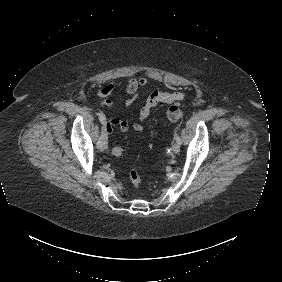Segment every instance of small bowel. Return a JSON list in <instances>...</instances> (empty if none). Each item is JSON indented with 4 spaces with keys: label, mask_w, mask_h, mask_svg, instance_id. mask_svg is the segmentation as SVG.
Wrapping results in <instances>:
<instances>
[{
    "label": "small bowel",
    "mask_w": 282,
    "mask_h": 282,
    "mask_svg": "<svg viewBox=\"0 0 282 282\" xmlns=\"http://www.w3.org/2000/svg\"><path fill=\"white\" fill-rule=\"evenodd\" d=\"M149 78L146 76L139 78H129L125 83V90L129 94V98L126 99L124 107L126 110L130 109L139 97V91L142 87L149 83ZM116 82H110L98 90L97 95L102 99V107L112 108L113 102L108 99L111 93L116 88ZM184 94L182 92H170L166 90H155L148 95L143 106L139 111L138 121L129 123L121 118H113L109 120L105 125L106 132L110 133L114 128L119 129L121 132L126 133L130 128L135 131L141 132L144 130L143 122L147 120L151 111L158 105L169 104L171 106L177 105L183 100Z\"/></svg>",
    "instance_id": "c3829d8e"
}]
</instances>
